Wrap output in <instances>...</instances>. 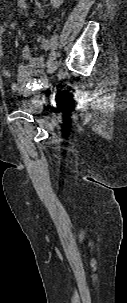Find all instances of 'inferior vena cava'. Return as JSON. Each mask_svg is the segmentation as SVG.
Returning <instances> with one entry per match:
<instances>
[{"mask_svg":"<svg viewBox=\"0 0 127 303\" xmlns=\"http://www.w3.org/2000/svg\"><path fill=\"white\" fill-rule=\"evenodd\" d=\"M63 0H51V4L54 8H58L62 4Z\"/></svg>","mask_w":127,"mask_h":303,"instance_id":"602c4592","label":"inferior vena cava"}]
</instances>
